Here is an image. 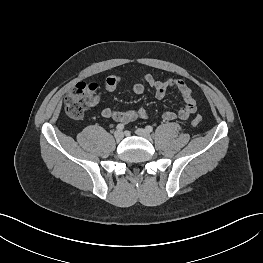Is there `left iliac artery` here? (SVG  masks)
Segmentation results:
<instances>
[{"label":"left iliac artery","mask_w":263,"mask_h":263,"mask_svg":"<svg viewBox=\"0 0 263 263\" xmlns=\"http://www.w3.org/2000/svg\"><path fill=\"white\" fill-rule=\"evenodd\" d=\"M145 129H146L148 132H152V131H153V127L150 126V125H147V126L145 127Z\"/></svg>","instance_id":"44dca946"}]
</instances>
